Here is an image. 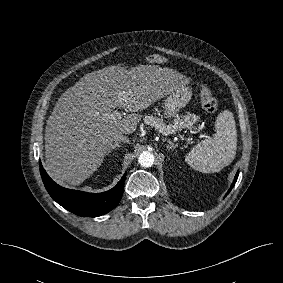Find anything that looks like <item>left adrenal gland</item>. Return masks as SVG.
Segmentation results:
<instances>
[{"instance_id":"left-adrenal-gland-1","label":"left adrenal gland","mask_w":283,"mask_h":283,"mask_svg":"<svg viewBox=\"0 0 283 283\" xmlns=\"http://www.w3.org/2000/svg\"><path fill=\"white\" fill-rule=\"evenodd\" d=\"M163 141H166V142L168 143L167 146H166V148H167L168 150H170V149H172V150L175 149L176 145H175V143H173L170 139L164 138Z\"/></svg>"}]
</instances>
